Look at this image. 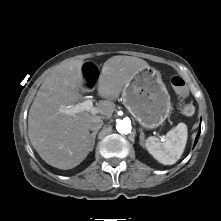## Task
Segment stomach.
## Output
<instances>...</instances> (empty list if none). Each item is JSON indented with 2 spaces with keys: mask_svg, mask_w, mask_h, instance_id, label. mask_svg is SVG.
I'll return each mask as SVG.
<instances>
[{
  "mask_svg": "<svg viewBox=\"0 0 221 221\" xmlns=\"http://www.w3.org/2000/svg\"><path fill=\"white\" fill-rule=\"evenodd\" d=\"M122 99L127 110L146 129L162 125L172 108L161 75L152 67L139 70L127 82Z\"/></svg>",
  "mask_w": 221,
  "mask_h": 221,
  "instance_id": "1",
  "label": "stomach"
}]
</instances>
